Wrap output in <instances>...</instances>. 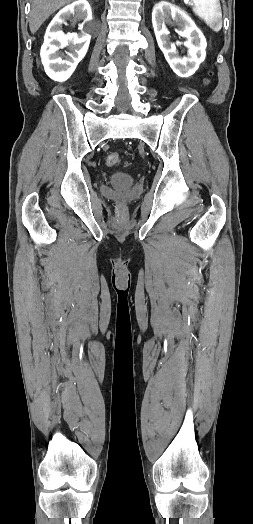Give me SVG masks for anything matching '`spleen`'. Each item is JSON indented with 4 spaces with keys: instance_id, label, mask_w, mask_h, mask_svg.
<instances>
[{
    "instance_id": "obj_1",
    "label": "spleen",
    "mask_w": 253,
    "mask_h": 524,
    "mask_svg": "<svg viewBox=\"0 0 253 524\" xmlns=\"http://www.w3.org/2000/svg\"><path fill=\"white\" fill-rule=\"evenodd\" d=\"M194 13L215 32L222 28V11L219 0H191Z\"/></svg>"
}]
</instances>
